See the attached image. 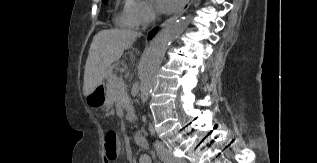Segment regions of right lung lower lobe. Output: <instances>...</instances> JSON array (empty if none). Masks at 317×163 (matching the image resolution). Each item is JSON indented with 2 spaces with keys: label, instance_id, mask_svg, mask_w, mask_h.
Instances as JSON below:
<instances>
[{
  "label": "right lung lower lobe",
  "instance_id": "right-lung-lower-lobe-1",
  "mask_svg": "<svg viewBox=\"0 0 317 163\" xmlns=\"http://www.w3.org/2000/svg\"><path fill=\"white\" fill-rule=\"evenodd\" d=\"M157 30H158V28H155V29H153V30L150 32V34H149V39H151V38L154 36V34L156 33Z\"/></svg>",
  "mask_w": 317,
  "mask_h": 163
}]
</instances>
